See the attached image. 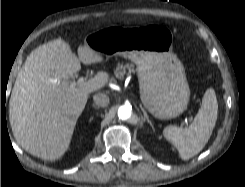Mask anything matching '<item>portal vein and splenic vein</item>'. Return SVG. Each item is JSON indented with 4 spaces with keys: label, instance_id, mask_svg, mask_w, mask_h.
Segmentation results:
<instances>
[{
    "label": "portal vein and splenic vein",
    "instance_id": "18ae733b",
    "mask_svg": "<svg viewBox=\"0 0 245 187\" xmlns=\"http://www.w3.org/2000/svg\"><path fill=\"white\" fill-rule=\"evenodd\" d=\"M53 82H57V80H53ZM79 82H83V78L79 80ZM78 82H72L71 86H75Z\"/></svg>",
    "mask_w": 245,
    "mask_h": 187
}]
</instances>
